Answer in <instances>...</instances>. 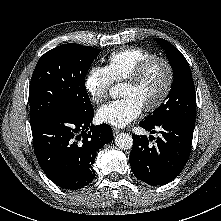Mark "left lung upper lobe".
Instances as JSON below:
<instances>
[{
    "mask_svg": "<svg viewBox=\"0 0 221 221\" xmlns=\"http://www.w3.org/2000/svg\"><path fill=\"white\" fill-rule=\"evenodd\" d=\"M156 42L166 51L173 69V86L163 103L145 121L148 123H162L175 118H186L195 121V86L190 66L183 54L170 42L156 38Z\"/></svg>",
    "mask_w": 221,
    "mask_h": 221,
    "instance_id": "1",
    "label": "left lung upper lobe"
}]
</instances>
